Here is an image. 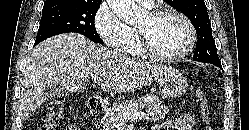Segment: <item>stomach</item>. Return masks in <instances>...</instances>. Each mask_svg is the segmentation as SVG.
<instances>
[{"label":"stomach","mask_w":249,"mask_h":130,"mask_svg":"<svg viewBox=\"0 0 249 130\" xmlns=\"http://www.w3.org/2000/svg\"><path fill=\"white\" fill-rule=\"evenodd\" d=\"M161 95L165 98H176L188 90L187 80L177 70L162 74L158 78Z\"/></svg>","instance_id":"stomach-1"}]
</instances>
